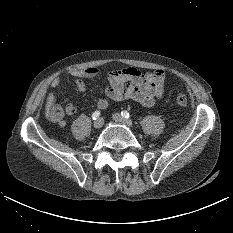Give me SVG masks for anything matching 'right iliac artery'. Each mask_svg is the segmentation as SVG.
Segmentation results:
<instances>
[{
  "mask_svg": "<svg viewBox=\"0 0 233 233\" xmlns=\"http://www.w3.org/2000/svg\"><path fill=\"white\" fill-rule=\"evenodd\" d=\"M100 116V111H95L93 114H92V119L93 120H97Z\"/></svg>",
  "mask_w": 233,
  "mask_h": 233,
  "instance_id": "right-iliac-artery-1",
  "label": "right iliac artery"
}]
</instances>
